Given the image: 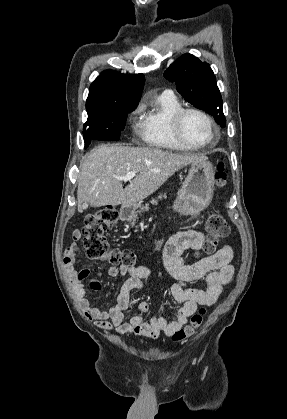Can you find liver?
Here are the masks:
<instances>
[{"label": "liver", "instance_id": "liver-1", "mask_svg": "<svg viewBox=\"0 0 287 419\" xmlns=\"http://www.w3.org/2000/svg\"><path fill=\"white\" fill-rule=\"evenodd\" d=\"M206 156L178 154L154 147L99 145L82 157L77 189L78 211L84 203L133 206L158 190L175 172ZM130 171L135 178L123 188L122 180Z\"/></svg>", "mask_w": 287, "mask_h": 419}]
</instances>
